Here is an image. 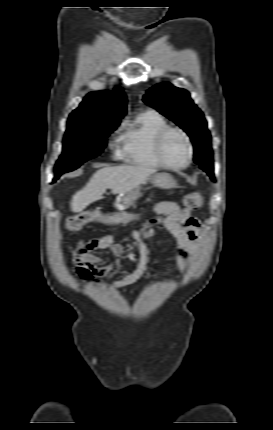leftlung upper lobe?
I'll return each instance as SVG.
<instances>
[{
	"label": "left lung upper lobe",
	"instance_id": "1",
	"mask_svg": "<svg viewBox=\"0 0 273 430\" xmlns=\"http://www.w3.org/2000/svg\"><path fill=\"white\" fill-rule=\"evenodd\" d=\"M143 101L179 125L191 138L198 165L212 162L211 136L201 110L193 103L189 92L170 83L153 86Z\"/></svg>",
	"mask_w": 273,
	"mask_h": 430
}]
</instances>
